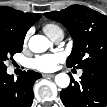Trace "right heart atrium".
<instances>
[{
    "instance_id": "obj_1",
    "label": "right heart atrium",
    "mask_w": 107,
    "mask_h": 107,
    "mask_svg": "<svg viewBox=\"0 0 107 107\" xmlns=\"http://www.w3.org/2000/svg\"><path fill=\"white\" fill-rule=\"evenodd\" d=\"M27 39H28V34H27V36H26V38H25V41H27Z\"/></svg>"
}]
</instances>
